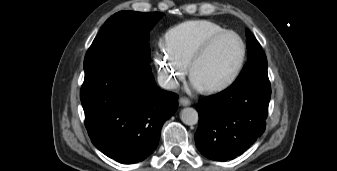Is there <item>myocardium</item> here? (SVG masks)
Returning a JSON list of instances; mask_svg holds the SVG:
<instances>
[{"label": "myocardium", "mask_w": 337, "mask_h": 171, "mask_svg": "<svg viewBox=\"0 0 337 171\" xmlns=\"http://www.w3.org/2000/svg\"><path fill=\"white\" fill-rule=\"evenodd\" d=\"M226 36H234L239 41V43L241 45V55H240L239 61L236 64L233 71L230 73V75L225 80H223L220 83L204 87L203 89L207 92L222 91V90L228 88L229 86H231L237 80V78L239 77V75H240V73L243 69V66H244V63H245V60H246V56H247V46H246V43H245L244 39L237 32H235L233 30L222 31V32L208 38L206 41H204L197 48V50L195 51V53L193 54V56L191 57V59L188 63L189 74H190V76H192L194 67L200 61V59L210 50V48L218 40H220L221 38H224Z\"/></svg>", "instance_id": "obj_1"}]
</instances>
